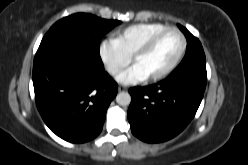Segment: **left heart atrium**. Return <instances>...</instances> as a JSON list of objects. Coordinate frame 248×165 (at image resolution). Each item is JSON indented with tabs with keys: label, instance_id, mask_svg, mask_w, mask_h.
<instances>
[{
	"label": "left heart atrium",
	"instance_id": "obj_1",
	"mask_svg": "<svg viewBox=\"0 0 248 165\" xmlns=\"http://www.w3.org/2000/svg\"><path fill=\"white\" fill-rule=\"evenodd\" d=\"M148 74L139 64H134L131 68L123 72L119 77L118 81L123 84H132L146 80Z\"/></svg>",
	"mask_w": 248,
	"mask_h": 165
}]
</instances>
